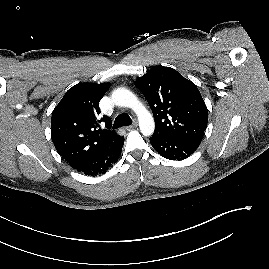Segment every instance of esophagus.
Listing matches in <instances>:
<instances>
[{
  "label": "esophagus",
  "instance_id": "esophagus-1",
  "mask_svg": "<svg viewBox=\"0 0 269 269\" xmlns=\"http://www.w3.org/2000/svg\"><path fill=\"white\" fill-rule=\"evenodd\" d=\"M136 127H137V122H134L132 125L126 126L125 129L126 130H133Z\"/></svg>",
  "mask_w": 269,
  "mask_h": 269
}]
</instances>
